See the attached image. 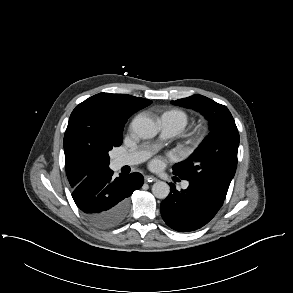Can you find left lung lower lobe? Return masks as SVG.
<instances>
[{
	"label": "left lung lower lobe",
	"mask_w": 293,
	"mask_h": 293,
	"mask_svg": "<svg viewBox=\"0 0 293 293\" xmlns=\"http://www.w3.org/2000/svg\"><path fill=\"white\" fill-rule=\"evenodd\" d=\"M188 181V188L180 192L170 184L171 193L160 207L165 223L178 232L195 231L207 224L222 207L227 194L200 181Z\"/></svg>",
	"instance_id": "obj_1"
}]
</instances>
